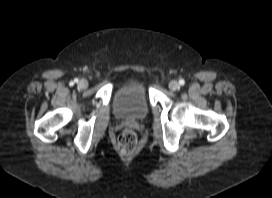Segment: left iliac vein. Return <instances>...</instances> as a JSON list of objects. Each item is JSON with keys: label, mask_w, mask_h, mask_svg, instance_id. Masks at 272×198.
I'll return each mask as SVG.
<instances>
[{"label": "left iliac vein", "mask_w": 272, "mask_h": 198, "mask_svg": "<svg viewBox=\"0 0 272 198\" xmlns=\"http://www.w3.org/2000/svg\"><path fill=\"white\" fill-rule=\"evenodd\" d=\"M179 83L175 80H172L170 83H169V88L172 90V91H176L179 89Z\"/></svg>", "instance_id": "1"}]
</instances>
